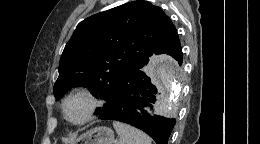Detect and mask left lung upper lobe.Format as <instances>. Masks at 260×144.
I'll return each mask as SVG.
<instances>
[{"instance_id": "left-lung-upper-lobe-1", "label": "left lung upper lobe", "mask_w": 260, "mask_h": 144, "mask_svg": "<svg viewBox=\"0 0 260 144\" xmlns=\"http://www.w3.org/2000/svg\"><path fill=\"white\" fill-rule=\"evenodd\" d=\"M178 36L170 18L147 1H132L92 15L77 25L66 44L54 85L56 99L76 83H88L94 96L106 100L99 115L112 100L125 72L149 60Z\"/></svg>"}]
</instances>
